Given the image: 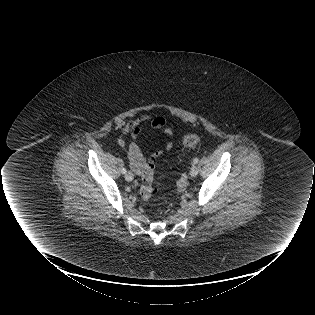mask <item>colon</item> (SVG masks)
Wrapping results in <instances>:
<instances>
[{
  "instance_id": "5ec220e1",
  "label": "colon",
  "mask_w": 315,
  "mask_h": 315,
  "mask_svg": "<svg viewBox=\"0 0 315 315\" xmlns=\"http://www.w3.org/2000/svg\"><path fill=\"white\" fill-rule=\"evenodd\" d=\"M200 142V137L196 134L187 135L183 139V145L185 147H194ZM155 164L151 160L144 165L140 172L142 184L140 187V195L143 200L148 201L154 192L153 188V178H154Z\"/></svg>"
}]
</instances>
